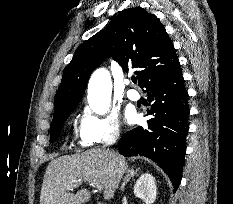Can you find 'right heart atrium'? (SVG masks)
Masks as SVG:
<instances>
[{"instance_id":"d8ad5b80","label":"right heart atrium","mask_w":233,"mask_h":204,"mask_svg":"<svg viewBox=\"0 0 233 204\" xmlns=\"http://www.w3.org/2000/svg\"><path fill=\"white\" fill-rule=\"evenodd\" d=\"M120 132L115 113L95 114L85 109L78 129V143L84 148L112 143L119 138Z\"/></svg>"}]
</instances>
